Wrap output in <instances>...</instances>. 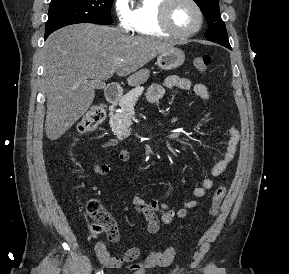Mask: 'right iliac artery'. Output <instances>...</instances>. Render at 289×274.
<instances>
[{
  "mask_svg": "<svg viewBox=\"0 0 289 274\" xmlns=\"http://www.w3.org/2000/svg\"><path fill=\"white\" fill-rule=\"evenodd\" d=\"M97 274H101V272L99 271Z\"/></svg>",
  "mask_w": 289,
  "mask_h": 274,
  "instance_id": "right-iliac-artery-1",
  "label": "right iliac artery"
}]
</instances>
